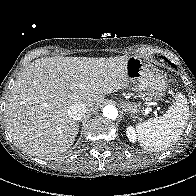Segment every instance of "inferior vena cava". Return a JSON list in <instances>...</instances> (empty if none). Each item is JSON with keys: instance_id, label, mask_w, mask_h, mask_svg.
Segmentation results:
<instances>
[{"instance_id": "obj_1", "label": "inferior vena cava", "mask_w": 196, "mask_h": 196, "mask_svg": "<svg viewBox=\"0 0 196 196\" xmlns=\"http://www.w3.org/2000/svg\"><path fill=\"white\" fill-rule=\"evenodd\" d=\"M87 111L88 108L86 105L75 103L68 108V115L74 120H80Z\"/></svg>"}]
</instances>
